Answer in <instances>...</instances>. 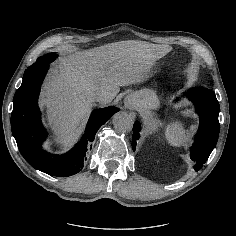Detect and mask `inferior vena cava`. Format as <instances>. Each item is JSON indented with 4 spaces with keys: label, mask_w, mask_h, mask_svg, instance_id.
<instances>
[{
    "label": "inferior vena cava",
    "mask_w": 236,
    "mask_h": 236,
    "mask_svg": "<svg viewBox=\"0 0 236 236\" xmlns=\"http://www.w3.org/2000/svg\"><path fill=\"white\" fill-rule=\"evenodd\" d=\"M112 100L111 94H105L102 90H99L95 93L92 98V101H97L103 104H106Z\"/></svg>",
    "instance_id": "inferior-vena-cava-1"
}]
</instances>
